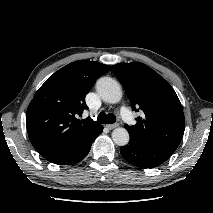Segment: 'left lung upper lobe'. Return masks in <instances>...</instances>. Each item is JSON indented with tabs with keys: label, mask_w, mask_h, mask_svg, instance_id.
<instances>
[{
	"label": "left lung upper lobe",
	"mask_w": 213,
	"mask_h": 213,
	"mask_svg": "<svg viewBox=\"0 0 213 213\" xmlns=\"http://www.w3.org/2000/svg\"><path fill=\"white\" fill-rule=\"evenodd\" d=\"M124 85L136 112L142 117L128 132L142 142L174 152L182 140L185 118L181 103L170 84L153 69L140 62L118 63L112 66Z\"/></svg>",
	"instance_id": "left-lung-upper-lobe-1"
}]
</instances>
